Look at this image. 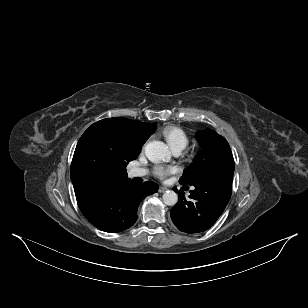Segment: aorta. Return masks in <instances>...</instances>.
<instances>
[{
  "mask_svg": "<svg viewBox=\"0 0 308 308\" xmlns=\"http://www.w3.org/2000/svg\"><path fill=\"white\" fill-rule=\"evenodd\" d=\"M145 154L152 162L166 160L171 157V153L162 141H152L145 146ZM178 201V195L174 191H166L163 194V202L168 206H173Z\"/></svg>",
  "mask_w": 308,
  "mask_h": 308,
  "instance_id": "762f6f07",
  "label": "aorta"
}]
</instances>
